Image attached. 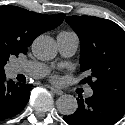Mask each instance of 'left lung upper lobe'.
I'll use <instances>...</instances> for the list:
<instances>
[{
	"mask_svg": "<svg viewBox=\"0 0 125 125\" xmlns=\"http://www.w3.org/2000/svg\"><path fill=\"white\" fill-rule=\"evenodd\" d=\"M66 22L80 39L81 71L90 74L81 83L125 90V31L93 16H68Z\"/></svg>",
	"mask_w": 125,
	"mask_h": 125,
	"instance_id": "obj_1",
	"label": "left lung upper lobe"
}]
</instances>
